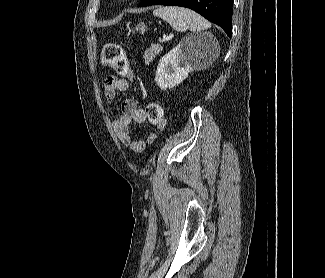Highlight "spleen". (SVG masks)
Masks as SVG:
<instances>
[{
    "label": "spleen",
    "mask_w": 325,
    "mask_h": 278,
    "mask_svg": "<svg viewBox=\"0 0 325 278\" xmlns=\"http://www.w3.org/2000/svg\"><path fill=\"white\" fill-rule=\"evenodd\" d=\"M153 14L154 16L160 17L168 22L173 29L179 32H185L187 30L202 31L211 26V24L202 16L183 7H157L153 11Z\"/></svg>",
    "instance_id": "spleen-1"
}]
</instances>
